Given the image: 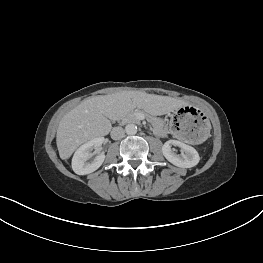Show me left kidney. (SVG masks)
<instances>
[{
    "mask_svg": "<svg viewBox=\"0 0 263 263\" xmlns=\"http://www.w3.org/2000/svg\"><path fill=\"white\" fill-rule=\"evenodd\" d=\"M172 146L183 150L181 155L177 154ZM164 157L173 165L181 168H191L199 163L198 152L192 147L178 140H168L162 147Z\"/></svg>",
    "mask_w": 263,
    "mask_h": 263,
    "instance_id": "5707ae66",
    "label": "left kidney"
}]
</instances>
